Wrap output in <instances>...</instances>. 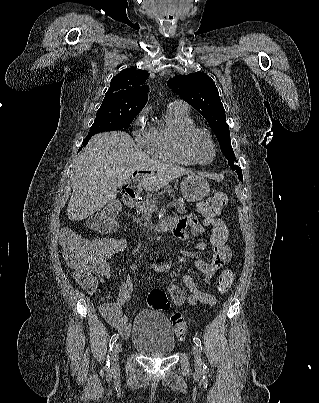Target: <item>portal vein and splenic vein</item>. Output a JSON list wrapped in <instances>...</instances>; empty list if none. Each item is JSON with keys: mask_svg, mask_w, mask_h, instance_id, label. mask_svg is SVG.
I'll use <instances>...</instances> for the list:
<instances>
[{"mask_svg": "<svg viewBox=\"0 0 319 403\" xmlns=\"http://www.w3.org/2000/svg\"><path fill=\"white\" fill-rule=\"evenodd\" d=\"M174 206H176V203L175 202H169L168 204H167V207H174ZM152 207H153V209L154 210H157L158 209V207L156 206V205H152Z\"/></svg>", "mask_w": 319, "mask_h": 403, "instance_id": "1", "label": "portal vein and splenic vein"}]
</instances>
